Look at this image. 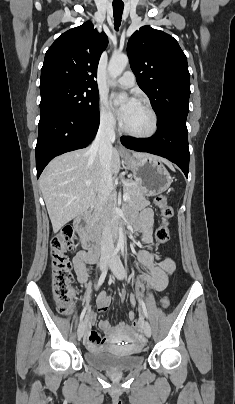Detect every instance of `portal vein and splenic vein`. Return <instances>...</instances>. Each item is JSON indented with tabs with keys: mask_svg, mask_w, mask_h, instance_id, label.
I'll list each match as a JSON object with an SVG mask.
<instances>
[{
	"mask_svg": "<svg viewBox=\"0 0 235 404\" xmlns=\"http://www.w3.org/2000/svg\"><path fill=\"white\" fill-rule=\"evenodd\" d=\"M86 185H90V182H86ZM130 198V195L128 193H124L123 195V200L128 201Z\"/></svg>",
	"mask_w": 235,
	"mask_h": 404,
	"instance_id": "18ae733b",
	"label": "portal vein and splenic vein"
}]
</instances>
